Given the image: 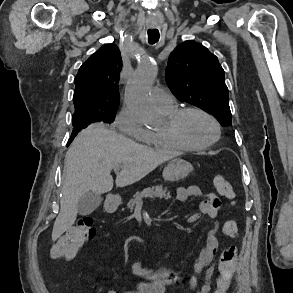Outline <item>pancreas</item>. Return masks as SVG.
<instances>
[{"instance_id": "1", "label": "pancreas", "mask_w": 293, "mask_h": 293, "mask_svg": "<svg viewBox=\"0 0 293 293\" xmlns=\"http://www.w3.org/2000/svg\"><path fill=\"white\" fill-rule=\"evenodd\" d=\"M143 198L147 199H155V198H171L170 192L166 193L161 190V186H153L143 189L141 192H136L132 199L128 202V208L132 211L134 206L143 200Z\"/></svg>"}]
</instances>
